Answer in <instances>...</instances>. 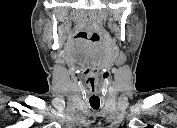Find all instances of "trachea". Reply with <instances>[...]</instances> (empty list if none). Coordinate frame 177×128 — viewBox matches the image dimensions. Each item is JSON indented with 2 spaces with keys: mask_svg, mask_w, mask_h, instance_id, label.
Here are the masks:
<instances>
[{
  "mask_svg": "<svg viewBox=\"0 0 177 128\" xmlns=\"http://www.w3.org/2000/svg\"><path fill=\"white\" fill-rule=\"evenodd\" d=\"M93 109L97 110L99 106H91Z\"/></svg>",
  "mask_w": 177,
  "mask_h": 128,
  "instance_id": "1",
  "label": "trachea"
}]
</instances>
